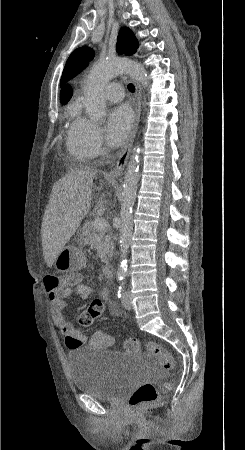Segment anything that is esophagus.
<instances>
[{"mask_svg": "<svg viewBox=\"0 0 245 450\" xmlns=\"http://www.w3.org/2000/svg\"><path fill=\"white\" fill-rule=\"evenodd\" d=\"M134 85H135V101H136V115H135V122H134V126L129 138V141L127 143V145L125 146L124 150L122 151L116 166L114 167L113 170H111L108 174L109 178H117L119 177L123 171L124 168L127 164V160L129 158L131 149H132V145L137 133V129H138V125L140 122V114H141V88L138 82L134 81Z\"/></svg>", "mask_w": 245, "mask_h": 450, "instance_id": "obj_1", "label": "esophagus"}]
</instances>
